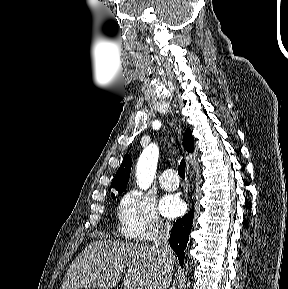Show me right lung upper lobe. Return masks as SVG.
<instances>
[{
	"instance_id": "obj_1",
	"label": "right lung upper lobe",
	"mask_w": 288,
	"mask_h": 289,
	"mask_svg": "<svg viewBox=\"0 0 288 289\" xmlns=\"http://www.w3.org/2000/svg\"><path fill=\"white\" fill-rule=\"evenodd\" d=\"M183 145L184 148L188 152H193L194 151V138L191 135L190 129H187L184 134L183 138ZM131 164H132V159L131 157L126 154L123 158L122 164L120 168L118 169L115 177L112 180L111 187L114 188L117 191H125L128 181H129V176H130V171H131Z\"/></svg>"
}]
</instances>
